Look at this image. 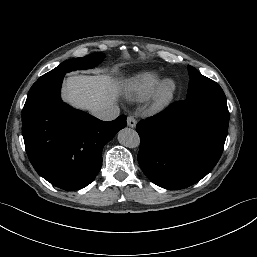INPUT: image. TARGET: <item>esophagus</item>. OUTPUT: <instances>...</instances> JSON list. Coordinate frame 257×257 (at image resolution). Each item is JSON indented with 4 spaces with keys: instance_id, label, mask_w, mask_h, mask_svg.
<instances>
[{
    "instance_id": "esophagus-1",
    "label": "esophagus",
    "mask_w": 257,
    "mask_h": 257,
    "mask_svg": "<svg viewBox=\"0 0 257 257\" xmlns=\"http://www.w3.org/2000/svg\"><path fill=\"white\" fill-rule=\"evenodd\" d=\"M136 124H137V121H136V119H135L134 116H129V117L127 118V125H128L129 127L135 128Z\"/></svg>"
}]
</instances>
